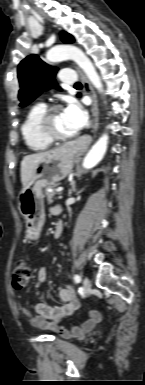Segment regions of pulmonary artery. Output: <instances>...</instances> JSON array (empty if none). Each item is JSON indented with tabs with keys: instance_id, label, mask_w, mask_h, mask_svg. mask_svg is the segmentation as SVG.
I'll use <instances>...</instances> for the list:
<instances>
[{
	"instance_id": "1",
	"label": "pulmonary artery",
	"mask_w": 145,
	"mask_h": 385,
	"mask_svg": "<svg viewBox=\"0 0 145 385\" xmlns=\"http://www.w3.org/2000/svg\"><path fill=\"white\" fill-rule=\"evenodd\" d=\"M60 78L66 84H72L76 81V76L74 72L70 69H63L60 72Z\"/></svg>"
}]
</instances>
